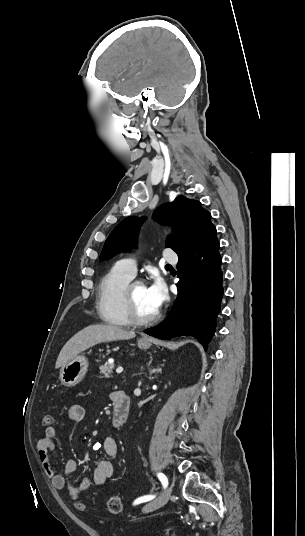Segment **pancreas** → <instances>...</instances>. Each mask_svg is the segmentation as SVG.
Listing matches in <instances>:
<instances>
[{"label": "pancreas", "mask_w": 305, "mask_h": 536, "mask_svg": "<svg viewBox=\"0 0 305 536\" xmlns=\"http://www.w3.org/2000/svg\"><path fill=\"white\" fill-rule=\"evenodd\" d=\"M114 366L115 364H109V362H105L104 366H100V378H113L112 374H114Z\"/></svg>", "instance_id": "pancreas-1"}]
</instances>
